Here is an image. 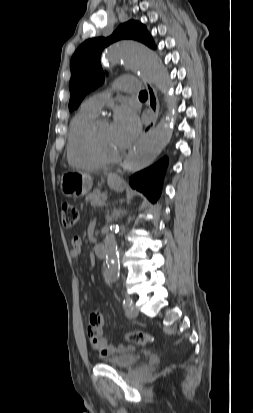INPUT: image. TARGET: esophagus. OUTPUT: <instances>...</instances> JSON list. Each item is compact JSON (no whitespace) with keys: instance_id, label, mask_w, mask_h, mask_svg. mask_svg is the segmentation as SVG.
Wrapping results in <instances>:
<instances>
[{"instance_id":"obj_1","label":"esophagus","mask_w":253,"mask_h":413,"mask_svg":"<svg viewBox=\"0 0 253 413\" xmlns=\"http://www.w3.org/2000/svg\"><path fill=\"white\" fill-rule=\"evenodd\" d=\"M143 82L148 92V107H149L150 114H151L150 120L146 123L144 127L143 134H145L146 132L152 130V128L155 126L158 115H159L160 105H159V100L157 97L156 90L153 87V85L147 80H143ZM132 153H133V150L131 149L129 151V155H131ZM128 162H129V156L124 160L123 163H121V165L116 169L115 172L110 174V177L114 179L119 178L120 174L123 173L125 169L128 167Z\"/></svg>"}]
</instances>
